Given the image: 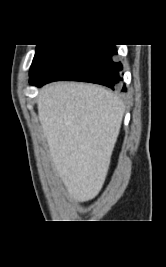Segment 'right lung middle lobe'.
Returning <instances> with one entry per match:
<instances>
[{"instance_id":"right-lung-middle-lobe-1","label":"right lung middle lobe","mask_w":166,"mask_h":267,"mask_svg":"<svg viewBox=\"0 0 166 267\" xmlns=\"http://www.w3.org/2000/svg\"><path fill=\"white\" fill-rule=\"evenodd\" d=\"M52 47V45H37L36 47V52H35V56L30 68V75L32 74V72L34 71V69L36 68V66L39 64V62L41 61V59L43 58V56L47 53V51Z\"/></svg>"}]
</instances>
